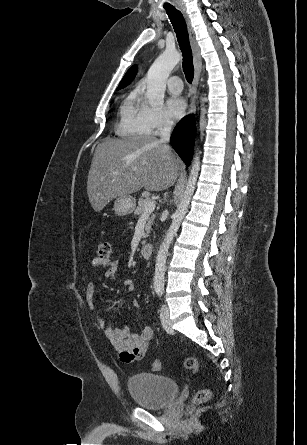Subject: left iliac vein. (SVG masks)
Segmentation results:
<instances>
[{
	"instance_id": "4c4485c4",
	"label": "left iliac vein",
	"mask_w": 307,
	"mask_h": 445,
	"mask_svg": "<svg viewBox=\"0 0 307 445\" xmlns=\"http://www.w3.org/2000/svg\"><path fill=\"white\" fill-rule=\"evenodd\" d=\"M160 320L164 330L168 333H173L169 309L165 304L162 305L160 310Z\"/></svg>"
}]
</instances>
